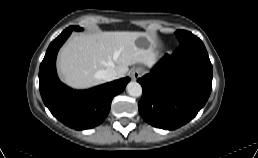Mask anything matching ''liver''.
Listing matches in <instances>:
<instances>
[{
	"mask_svg": "<svg viewBox=\"0 0 258 158\" xmlns=\"http://www.w3.org/2000/svg\"><path fill=\"white\" fill-rule=\"evenodd\" d=\"M151 34L130 31L94 32L75 35L61 48L58 58L60 76L67 85L86 89L103 83L97 74L110 67L117 78L128 66L151 65L156 60Z\"/></svg>",
	"mask_w": 258,
	"mask_h": 158,
	"instance_id": "1",
	"label": "liver"
}]
</instances>
